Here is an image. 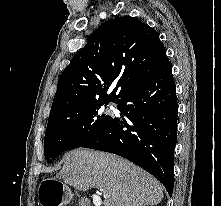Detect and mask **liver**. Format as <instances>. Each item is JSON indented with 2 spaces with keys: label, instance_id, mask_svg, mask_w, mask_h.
<instances>
[{
  "label": "liver",
  "instance_id": "obj_1",
  "mask_svg": "<svg viewBox=\"0 0 221 206\" xmlns=\"http://www.w3.org/2000/svg\"><path fill=\"white\" fill-rule=\"evenodd\" d=\"M59 178L79 190L100 189L105 206L157 205L163 199V188L157 179L111 153L72 150L64 156Z\"/></svg>",
  "mask_w": 221,
  "mask_h": 206
}]
</instances>
